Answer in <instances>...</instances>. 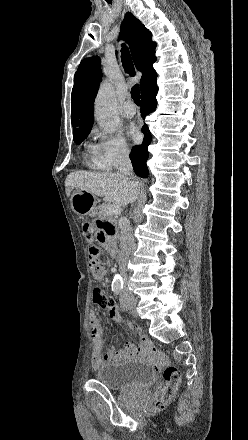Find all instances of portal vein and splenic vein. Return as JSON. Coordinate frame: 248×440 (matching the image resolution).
<instances>
[{
	"label": "portal vein and splenic vein",
	"mask_w": 248,
	"mask_h": 440,
	"mask_svg": "<svg viewBox=\"0 0 248 440\" xmlns=\"http://www.w3.org/2000/svg\"><path fill=\"white\" fill-rule=\"evenodd\" d=\"M105 213L110 216L119 215L121 213V208L118 205L110 204L106 206Z\"/></svg>",
	"instance_id": "obj_1"
}]
</instances>
